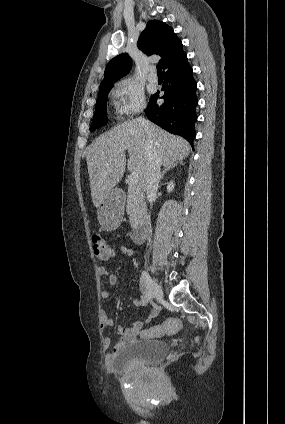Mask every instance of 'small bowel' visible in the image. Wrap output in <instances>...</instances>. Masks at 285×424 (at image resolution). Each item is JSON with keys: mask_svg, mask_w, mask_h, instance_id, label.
<instances>
[{"mask_svg": "<svg viewBox=\"0 0 285 424\" xmlns=\"http://www.w3.org/2000/svg\"><path fill=\"white\" fill-rule=\"evenodd\" d=\"M120 251L122 254L130 256V257H135L136 254L135 252L127 247V246H122L120 248ZM97 273L100 276H104V275H108V283L111 286H115L117 284V277L114 274H111L109 272V270L107 268H105L104 266H99L97 268ZM140 291H141V296L139 298H130L129 301L132 302L135 306H139V307H144V306H148L150 304V299L148 296V290L146 287V284L144 283V281L141 279L140 281ZM101 296L103 298H109L111 296V292L109 290H102L101 291ZM157 313V309L155 307H153L152 311H151V315L152 317L155 316ZM114 324V320L113 318L107 313V312H103L101 314V321H100V327L102 329L111 327ZM144 326V322L142 320H136L135 322H133L131 324L130 327H123V326H119L117 329V333L119 335V340L118 342L115 344L114 348L111 351H108L105 354V361L107 363H111L114 359V355L124 346H126L127 344H130L134 341H136L139 337V335L141 334V330ZM103 344L105 347H109L111 344V339L109 337H105L103 340Z\"/></svg>", "mask_w": 285, "mask_h": 424, "instance_id": "1", "label": "small bowel"}]
</instances>
